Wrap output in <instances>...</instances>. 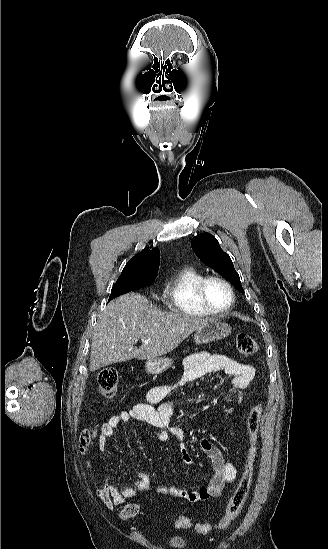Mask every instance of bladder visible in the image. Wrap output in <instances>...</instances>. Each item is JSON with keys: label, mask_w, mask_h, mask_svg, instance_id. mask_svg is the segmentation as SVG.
<instances>
[{"label": "bladder", "mask_w": 328, "mask_h": 549, "mask_svg": "<svg viewBox=\"0 0 328 549\" xmlns=\"http://www.w3.org/2000/svg\"><path fill=\"white\" fill-rule=\"evenodd\" d=\"M171 544L175 545V546H184L186 544V542L184 541V539L182 537L174 536L171 539Z\"/></svg>", "instance_id": "31cf9c89"}]
</instances>
